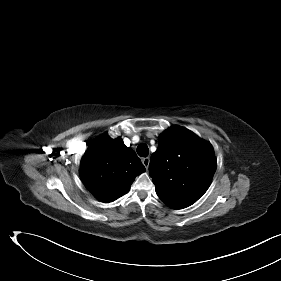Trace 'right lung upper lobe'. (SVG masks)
<instances>
[{
    "mask_svg": "<svg viewBox=\"0 0 281 281\" xmlns=\"http://www.w3.org/2000/svg\"><path fill=\"white\" fill-rule=\"evenodd\" d=\"M144 171L136 153L122 139L104 135L89 144L81 160L80 176L93 195L109 203L126 194L135 177Z\"/></svg>",
    "mask_w": 281,
    "mask_h": 281,
    "instance_id": "cb5924a9",
    "label": "right lung upper lobe"
}]
</instances>
